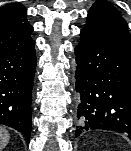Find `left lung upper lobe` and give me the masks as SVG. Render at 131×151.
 Returning a JSON list of instances; mask_svg holds the SVG:
<instances>
[{
  "label": "left lung upper lobe",
  "mask_w": 131,
  "mask_h": 151,
  "mask_svg": "<svg viewBox=\"0 0 131 151\" xmlns=\"http://www.w3.org/2000/svg\"><path fill=\"white\" fill-rule=\"evenodd\" d=\"M81 33L117 51L131 55L128 25L108 1L100 0L93 4Z\"/></svg>",
  "instance_id": "obj_1"
}]
</instances>
